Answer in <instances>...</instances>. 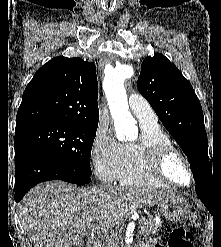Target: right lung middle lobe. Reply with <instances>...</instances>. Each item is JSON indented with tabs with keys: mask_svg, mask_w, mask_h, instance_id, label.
<instances>
[{
	"mask_svg": "<svg viewBox=\"0 0 221 247\" xmlns=\"http://www.w3.org/2000/svg\"><path fill=\"white\" fill-rule=\"evenodd\" d=\"M97 126L73 122L43 123L17 128L15 143L38 147L72 169L91 175V149Z\"/></svg>",
	"mask_w": 221,
	"mask_h": 247,
	"instance_id": "right-lung-middle-lobe-1",
	"label": "right lung middle lobe"
}]
</instances>
